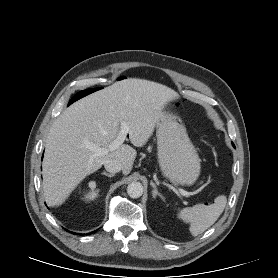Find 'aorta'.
Here are the masks:
<instances>
[{
    "label": "aorta",
    "mask_w": 278,
    "mask_h": 278,
    "mask_svg": "<svg viewBox=\"0 0 278 278\" xmlns=\"http://www.w3.org/2000/svg\"><path fill=\"white\" fill-rule=\"evenodd\" d=\"M127 193L131 198H139L143 194V186L140 182H132L127 186Z\"/></svg>",
    "instance_id": "762f6f07"
}]
</instances>
